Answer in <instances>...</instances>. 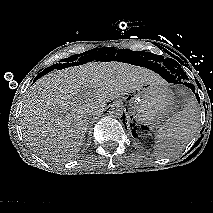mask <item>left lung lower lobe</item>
<instances>
[{
    "label": "left lung lower lobe",
    "mask_w": 213,
    "mask_h": 213,
    "mask_svg": "<svg viewBox=\"0 0 213 213\" xmlns=\"http://www.w3.org/2000/svg\"><path fill=\"white\" fill-rule=\"evenodd\" d=\"M159 73H160V72H159ZM160 74H161V73H160ZM161 75H162L166 80H168L169 82L178 83V84L181 83V80L176 79V78H175L172 74H170L169 71H167V70L164 71V75H163V74H161ZM184 84H185L187 87L191 88V90L195 93V87H194V85H192V84H190V83H188V82H184ZM195 95H196V98H197L198 102L200 103L199 97L197 96V94H195ZM124 117H125V115H124ZM124 117H123V119H124Z\"/></svg>",
    "instance_id": "0a47b994"
}]
</instances>
